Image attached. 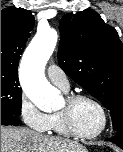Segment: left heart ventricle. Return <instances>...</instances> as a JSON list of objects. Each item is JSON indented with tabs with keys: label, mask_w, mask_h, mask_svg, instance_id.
I'll use <instances>...</instances> for the list:
<instances>
[{
	"label": "left heart ventricle",
	"mask_w": 123,
	"mask_h": 152,
	"mask_svg": "<svg viewBox=\"0 0 123 152\" xmlns=\"http://www.w3.org/2000/svg\"><path fill=\"white\" fill-rule=\"evenodd\" d=\"M64 101L61 110L65 109ZM72 117L76 129L81 133H94L102 125L100 110L88 100L77 101L72 108Z\"/></svg>",
	"instance_id": "left-heart-ventricle-1"
}]
</instances>
